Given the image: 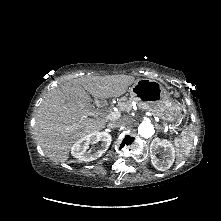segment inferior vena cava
I'll return each mask as SVG.
<instances>
[{
  "instance_id": "1",
  "label": "inferior vena cava",
  "mask_w": 221,
  "mask_h": 221,
  "mask_svg": "<svg viewBox=\"0 0 221 221\" xmlns=\"http://www.w3.org/2000/svg\"><path fill=\"white\" fill-rule=\"evenodd\" d=\"M126 125V121L124 119L117 120L111 124L112 128H119Z\"/></svg>"
}]
</instances>
